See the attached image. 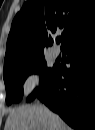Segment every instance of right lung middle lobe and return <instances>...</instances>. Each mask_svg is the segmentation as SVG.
Segmentation results:
<instances>
[{
	"label": "right lung middle lobe",
	"mask_w": 95,
	"mask_h": 130,
	"mask_svg": "<svg viewBox=\"0 0 95 130\" xmlns=\"http://www.w3.org/2000/svg\"><path fill=\"white\" fill-rule=\"evenodd\" d=\"M55 67L48 68L45 59L41 58L32 63L5 70L3 72V79L6 87V103L19 102L23 95V83L28 75L41 73L39 88L28 97V101H31L50 79L55 71Z\"/></svg>",
	"instance_id": "obj_1"
}]
</instances>
